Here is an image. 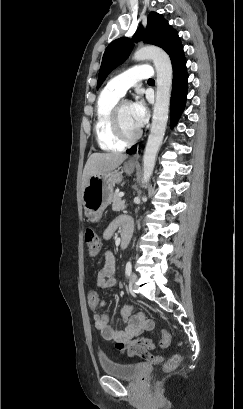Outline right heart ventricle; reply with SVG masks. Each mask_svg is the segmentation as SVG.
<instances>
[{
	"label": "right heart ventricle",
	"instance_id": "obj_1",
	"mask_svg": "<svg viewBox=\"0 0 243 409\" xmlns=\"http://www.w3.org/2000/svg\"><path fill=\"white\" fill-rule=\"evenodd\" d=\"M121 96L105 87L99 95L96 108L94 133L98 146L103 151H122L123 143L118 141L111 129V114Z\"/></svg>",
	"mask_w": 243,
	"mask_h": 409
}]
</instances>
